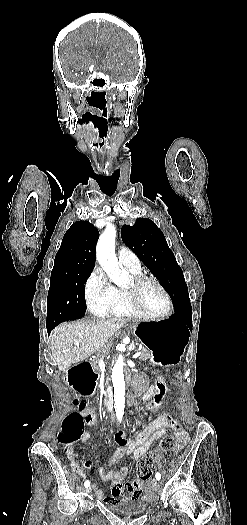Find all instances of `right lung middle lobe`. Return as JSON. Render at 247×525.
Instances as JSON below:
<instances>
[{
    "label": "right lung middle lobe",
    "instance_id": "1",
    "mask_svg": "<svg viewBox=\"0 0 247 525\" xmlns=\"http://www.w3.org/2000/svg\"><path fill=\"white\" fill-rule=\"evenodd\" d=\"M92 271H52L47 297V327L81 318L86 312L85 283Z\"/></svg>",
    "mask_w": 247,
    "mask_h": 525
}]
</instances>
